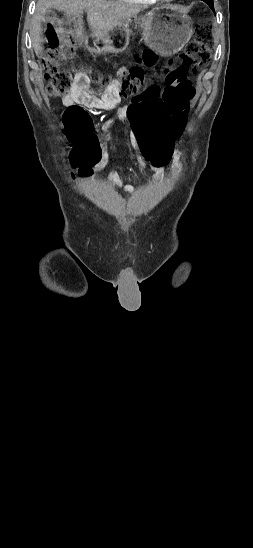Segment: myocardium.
Masks as SVG:
<instances>
[{"label": "myocardium", "instance_id": "1", "mask_svg": "<svg viewBox=\"0 0 253 548\" xmlns=\"http://www.w3.org/2000/svg\"><path fill=\"white\" fill-rule=\"evenodd\" d=\"M156 1H160V2H172L174 0H156Z\"/></svg>", "mask_w": 253, "mask_h": 548}]
</instances>
